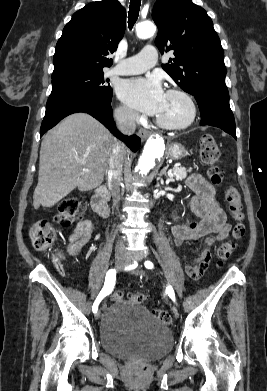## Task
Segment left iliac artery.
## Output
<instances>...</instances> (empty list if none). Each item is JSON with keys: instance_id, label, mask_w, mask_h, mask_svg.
Masks as SVG:
<instances>
[{"instance_id": "44dca946", "label": "left iliac artery", "mask_w": 267, "mask_h": 391, "mask_svg": "<svg viewBox=\"0 0 267 391\" xmlns=\"http://www.w3.org/2000/svg\"><path fill=\"white\" fill-rule=\"evenodd\" d=\"M144 265L148 269H152L153 268V263L150 262V261H146L144 263ZM166 291H167L169 297L175 302V294H174V291H173L172 287L168 286Z\"/></svg>"}]
</instances>
